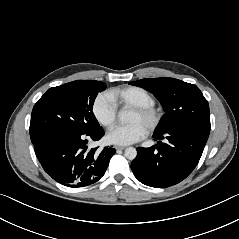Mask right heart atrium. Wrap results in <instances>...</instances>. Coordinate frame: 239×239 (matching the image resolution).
Masks as SVG:
<instances>
[{"label":"right heart atrium","instance_id":"1","mask_svg":"<svg viewBox=\"0 0 239 239\" xmlns=\"http://www.w3.org/2000/svg\"><path fill=\"white\" fill-rule=\"evenodd\" d=\"M91 110L97 122L104 127H110L116 121L117 106L106 93L96 96Z\"/></svg>","mask_w":239,"mask_h":239}]
</instances>
